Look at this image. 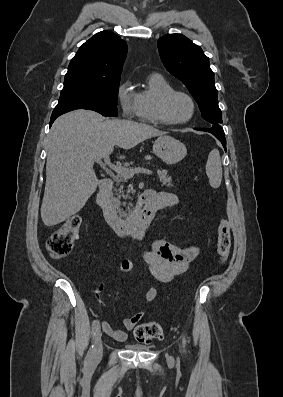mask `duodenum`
Segmentation results:
<instances>
[{"mask_svg": "<svg viewBox=\"0 0 283 397\" xmlns=\"http://www.w3.org/2000/svg\"><path fill=\"white\" fill-rule=\"evenodd\" d=\"M113 181L105 178L100 182L96 202L102 211L107 224L119 236L144 232L159 210V204L153 198L150 190L140 194L132 212L126 218L120 216L110 200Z\"/></svg>", "mask_w": 283, "mask_h": 397, "instance_id": "1", "label": "duodenum"}]
</instances>
